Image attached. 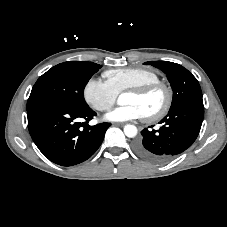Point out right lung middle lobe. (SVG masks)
I'll use <instances>...</instances> for the list:
<instances>
[{
	"label": "right lung middle lobe",
	"instance_id": "1",
	"mask_svg": "<svg viewBox=\"0 0 227 227\" xmlns=\"http://www.w3.org/2000/svg\"><path fill=\"white\" fill-rule=\"evenodd\" d=\"M100 67L99 64L83 61H68L52 67L40 76L33 86L27 109L42 103L88 106L83 91Z\"/></svg>",
	"mask_w": 227,
	"mask_h": 227
}]
</instances>
